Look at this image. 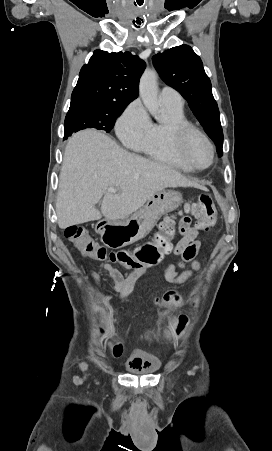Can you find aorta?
<instances>
[{
	"label": "aorta",
	"mask_w": 272,
	"mask_h": 451,
	"mask_svg": "<svg viewBox=\"0 0 272 451\" xmlns=\"http://www.w3.org/2000/svg\"><path fill=\"white\" fill-rule=\"evenodd\" d=\"M157 80L158 74L156 70L146 68L144 74H142L140 78L139 94L145 108H147L151 116H153L157 122H164V120H167V116H165V114H161V104L158 100Z\"/></svg>",
	"instance_id": "aorta-1"
}]
</instances>
